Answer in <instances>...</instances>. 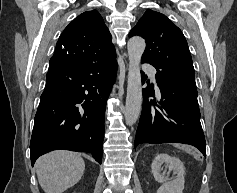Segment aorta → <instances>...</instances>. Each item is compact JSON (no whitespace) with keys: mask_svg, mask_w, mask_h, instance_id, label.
Wrapping results in <instances>:
<instances>
[{"mask_svg":"<svg viewBox=\"0 0 237 193\" xmlns=\"http://www.w3.org/2000/svg\"><path fill=\"white\" fill-rule=\"evenodd\" d=\"M146 43L142 37L134 36L127 44L129 67L127 81V96L124 110L125 122L133 125L138 120L142 105V82L140 61L145 51Z\"/></svg>","mask_w":237,"mask_h":193,"instance_id":"aorta-1","label":"aorta"}]
</instances>
